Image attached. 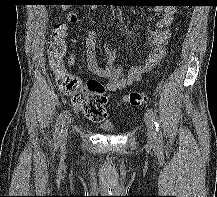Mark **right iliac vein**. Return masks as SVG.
<instances>
[{
    "instance_id": "63e3f726",
    "label": "right iliac vein",
    "mask_w": 217,
    "mask_h": 197,
    "mask_svg": "<svg viewBox=\"0 0 217 197\" xmlns=\"http://www.w3.org/2000/svg\"><path fill=\"white\" fill-rule=\"evenodd\" d=\"M68 128H69V124H67L65 126L64 132H63V134L61 136L60 143L63 144V145L67 142V139H68Z\"/></svg>"
}]
</instances>
